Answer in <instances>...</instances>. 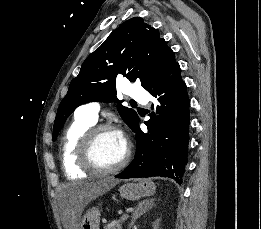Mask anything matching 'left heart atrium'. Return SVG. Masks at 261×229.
<instances>
[{"label":"left heart atrium","instance_id":"left-heart-atrium-1","mask_svg":"<svg viewBox=\"0 0 261 229\" xmlns=\"http://www.w3.org/2000/svg\"><path fill=\"white\" fill-rule=\"evenodd\" d=\"M122 136V135H121ZM122 139H123V141H124V143L126 144V140H125V138L122 136Z\"/></svg>","mask_w":261,"mask_h":229}]
</instances>
